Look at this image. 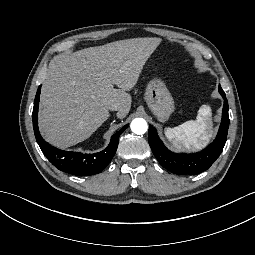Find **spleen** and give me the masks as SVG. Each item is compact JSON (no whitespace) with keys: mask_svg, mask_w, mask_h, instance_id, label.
I'll list each match as a JSON object with an SVG mask.
<instances>
[{"mask_svg":"<svg viewBox=\"0 0 255 255\" xmlns=\"http://www.w3.org/2000/svg\"><path fill=\"white\" fill-rule=\"evenodd\" d=\"M211 116L210 106L202 105L196 121L191 120L174 128H165V136L178 150H200L209 140Z\"/></svg>","mask_w":255,"mask_h":255,"instance_id":"obj_1","label":"spleen"}]
</instances>
